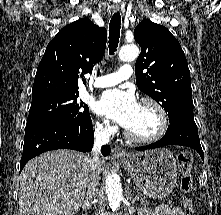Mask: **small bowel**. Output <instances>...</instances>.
Masks as SVG:
<instances>
[{
  "label": "small bowel",
  "instance_id": "1",
  "mask_svg": "<svg viewBox=\"0 0 221 215\" xmlns=\"http://www.w3.org/2000/svg\"><path fill=\"white\" fill-rule=\"evenodd\" d=\"M138 215H185L178 207H169L167 205H159L154 209H141Z\"/></svg>",
  "mask_w": 221,
  "mask_h": 215
}]
</instances>
